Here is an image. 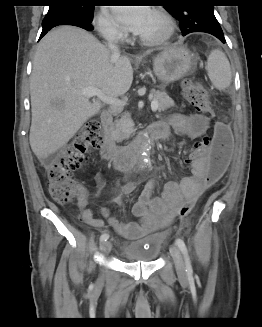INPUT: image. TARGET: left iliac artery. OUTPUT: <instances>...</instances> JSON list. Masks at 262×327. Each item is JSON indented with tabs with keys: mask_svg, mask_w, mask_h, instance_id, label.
<instances>
[{
	"mask_svg": "<svg viewBox=\"0 0 262 327\" xmlns=\"http://www.w3.org/2000/svg\"><path fill=\"white\" fill-rule=\"evenodd\" d=\"M176 244H177L178 248L180 249V251L182 252V254L184 255L187 274L192 275L193 269H192L191 262H190V259L188 256L187 247L185 245V242L183 241V239L177 238Z\"/></svg>",
	"mask_w": 262,
	"mask_h": 327,
	"instance_id": "1",
	"label": "left iliac artery"
}]
</instances>
